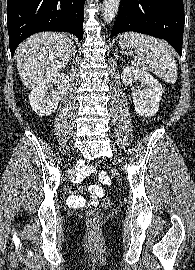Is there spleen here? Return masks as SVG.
Segmentation results:
<instances>
[{
  "label": "spleen",
  "instance_id": "1",
  "mask_svg": "<svg viewBox=\"0 0 195 270\" xmlns=\"http://www.w3.org/2000/svg\"><path fill=\"white\" fill-rule=\"evenodd\" d=\"M119 45L122 49H136L134 62L137 67L151 71L167 83L176 82V61L163 41L148 35L129 32L121 37Z\"/></svg>",
  "mask_w": 195,
  "mask_h": 270
}]
</instances>
